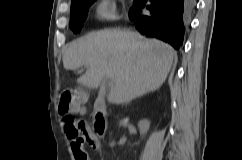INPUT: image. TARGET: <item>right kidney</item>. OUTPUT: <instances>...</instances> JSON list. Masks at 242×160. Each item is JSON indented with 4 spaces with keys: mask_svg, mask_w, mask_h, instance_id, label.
<instances>
[{
    "mask_svg": "<svg viewBox=\"0 0 242 160\" xmlns=\"http://www.w3.org/2000/svg\"><path fill=\"white\" fill-rule=\"evenodd\" d=\"M150 126V122L146 119L140 120L138 123L139 130L142 134H145ZM114 146V142L111 143V147Z\"/></svg>",
    "mask_w": 242,
    "mask_h": 160,
    "instance_id": "ca27d5eb",
    "label": "right kidney"
}]
</instances>
